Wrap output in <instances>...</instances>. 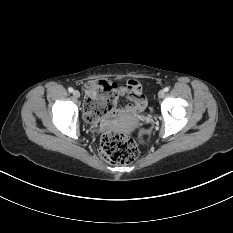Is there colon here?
Returning a JSON list of instances; mask_svg holds the SVG:
<instances>
[{
  "instance_id": "obj_1",
  "label": "colon",
  "mask_w": 233,
  "mask_h": 233,
  "mask_svg": "<svg viewBox=\"0 0 233 233\" xmlns=\"http://www.w3.org/2000/svg\"><path fill=\"white\" fill-rule=\"evenodd\" d=\"M87 120L94 122L111 114L117 103L116 84L109 80H94L87 84ZM101 156L113 164H128L138 156L135 141L128 135L105 132L100 140Z\"/></svg>"
}]
</instances>
